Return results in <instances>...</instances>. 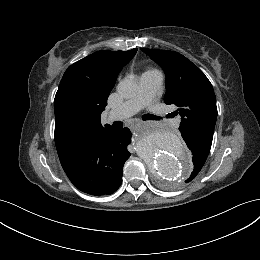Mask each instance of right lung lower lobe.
<instances>
[{
	"label": "right lung lower lobe",
	"mask_w": 260,
	"mask_h": 260,
	"mask_svg": "<svg viewBox=\"0 0 260 260\" xmlns=\"http://www.w3.org/2000/svg\"><path fill=\"white\" fill-rule=\"evenodd\" d=\"M131 137L128 128L88 136L59 156L61 165L79 190L95 196L112 194L122 183Z\"/></svg>",
	"instance_id": "obj_1"
}]
</instances>
